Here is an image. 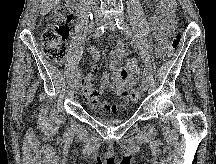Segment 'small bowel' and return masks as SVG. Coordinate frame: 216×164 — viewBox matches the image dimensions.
Returning <instances> with one entry per match:
<instances>
[{"label":"small bowel","instance_id":"c3829d8e","mask_svg":"<svg viewBox=\"0 0 216 164\" xmlns=\"http://www.w3.org/2000/svg\"><path fill=\"white\" fill-rule=\"evenodd\" d=\"M175 0H155V15L152 19L154 36L156 38L155 54L160 57L164 50L166 34L175 22ZM91 56L98 60L100 51L97 46L89 49ZM126 58L125 67L121 66V61ZM109 69L112 85H109L108 76L101 79L100 85L93 88V80L83 79L81 82V93L84 102L91 111L103 114H115L124 111L129 103L128 91L137 81L139 76V65L135 58L128 57V53L122 42H118L116 47L109 54ZM94 75V73H93ZM110 90L120 96L118 103L101 102L100 97Z\"/></svg>","mask_w":216,"mask_h":164}]
</instances>
